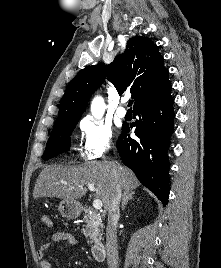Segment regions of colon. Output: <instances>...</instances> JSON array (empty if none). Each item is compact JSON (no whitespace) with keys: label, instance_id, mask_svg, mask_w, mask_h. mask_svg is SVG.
<instances>
[{"label":"colon","instance_id":"colon-1","mask_svg":"<svg viewBox=\"0 0 221 268\" xmlns=\"http://www.w3.org/2000/svg\"><path fill=\"white\" fill-rule=\"evenodd\" d=\"M41 223L43 224V226L47 229H50L53 227V222L50 218V216H48L47 214H43L41 216Z\"/></svg>","mask_w":221,"mask_h":268}]
</instances>
